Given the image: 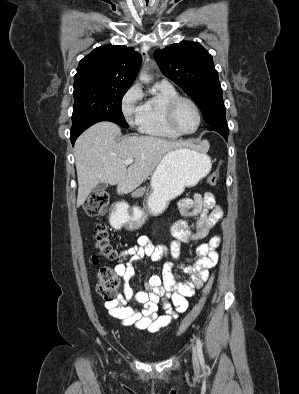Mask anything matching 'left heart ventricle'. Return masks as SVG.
Returning <instances> with one entry per match:
<instances>
[{
	"label": "left heart ventricle",
	"mask_w": 299,
	"mask_h": 394,
	"mask_svg": "<svg viewBox=\"0 0 299 394\" xmlns=\"http://www.w3.org/2000/svg\"><path fill=\"white\" fill-rule=\"evenodd\" d=\"M176 124L186 132L193 131L198 124V116L194 108L187 102H182L176 110Z\"/></svg>",
	"instance_id": "obj_1"
}]
</instances>
